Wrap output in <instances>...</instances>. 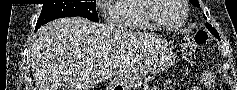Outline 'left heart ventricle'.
Listing matches in <instances>:
<instances>
[{"instance_id": "left-heart-ventricle-1", "label": "left heart ventricle", "mask_w": 237, "mask_h": 90, "mask_svg": "<svg viewBox=\"0 0 237 90\" xmlns=\"http://www.w3.org/2000/svg\"><path fill=\"white\" fill-rule=\"evenodd\" d=\"M160 1H175V0H160ZM179 6V5H175ZM183 13L181 10H163L158 16L159 19L167 26H174L182 19Z\"/></svg>"}]
</instances>
